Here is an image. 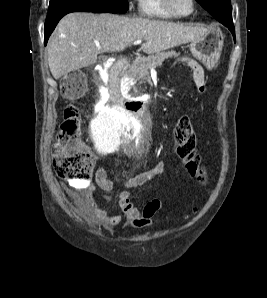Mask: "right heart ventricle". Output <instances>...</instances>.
Instances as JSON below:
<instances>
[{"label":"right heart ventricle","mask_w":267,"mask_h":298,"mask_svg":"<svg viewBox=\"0 0 267 298\" xmlns=\"http://www.w3.org/2000/svg\"><path fill=\"white\" fill-rule=\"evenodd\" d=\"M138 12L140 16L149 19L172 20L175 18L163 8L161 0H138Z\"/></svg>","instance_id":"e07e8e85"}]
</instances>
